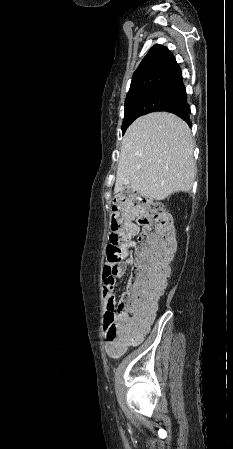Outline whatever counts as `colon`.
I'll use <instances>...</instances> for the list:
<instances>
[{
    "label": "colon",
    "mask_w": 233,
    "mask_h": 449,
    "mask_svg": "<svg viewBox=\"0 0 233 449\" xmlns=\"http://www.w3.org/2000/svg\"><path fill=\"white\" fill-rule=\"evenodd\" d=\"M113 207L107 270L131 256L129 249L135 232V218L142 227L124 298L104 318L106 340L114 344L109 353L118 355L135 340L139 325L155 313L166 286L175 241L170 218L161 202L134 193H123Z\"/></svg>",
    "instance_id": "colon-1"
}]
</instances>
